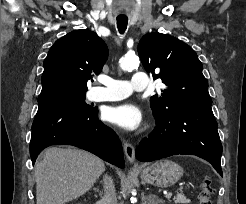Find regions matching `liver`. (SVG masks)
I'll list each match as a JSON object with an SVG mask.
<instances>
[{"instance_id":"1","label":"liver","mask_w":246,"mask_h":204,"mask_svg":"<svg viewBox=\"0 0 246 204\" xmlns=\"http://www.w3.org/2000/svg\"><path fill=\"white\" fill-rule=\"evenodd\" d=\"M104 170L87 151L50 147L34 169L36 204H66L88 192Z\"/></svg>"}]
</instances>
